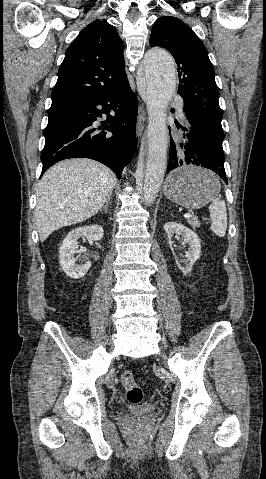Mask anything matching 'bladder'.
Wrapping results in <instances>:
<instances>
[{"mask_svg":"<svg viewBox=\"0 0 266 479\" xmlns=\"http://www.w3.org/2000/svg\"><path fill=\"white\" fill-rule=\"evenodd\" d=\"M155 405L150 402H143L132 404V406L127 407V411L136 416H147L155 412Z\"/></svg>","mask_w":266,"mask_h":479,"instance_id":"31cf9c89","label":"bladder"}]
</instances>
